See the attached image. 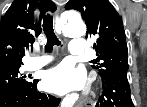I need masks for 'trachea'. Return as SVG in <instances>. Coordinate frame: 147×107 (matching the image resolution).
<instances>
[{"label": "trachea", "mask_w": 147, "mask_h": 107, "mask_svg": "<svg viewBox=\"0 0 147 107\" xmlns=\"http://www.w3.org/2000/svg\"><path fill=\"white\" fill-rule=\"evenodd\" d=\"M43 30L47 37V44L45 45V51H51L54 45H60V41L54 33L53 18L47 14L43 19Z\"/></svg>", "instance_id": "3493384b"}]
</instances>
